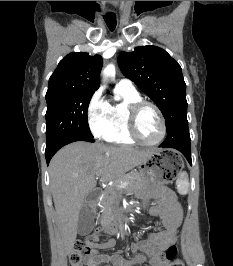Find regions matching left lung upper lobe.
I'll list each match as a JSON object with an SVG mask.
<instances>
[{
	"label": "left lung upper lobe",
	"mask_w": 233,
	"mask_h": 266,
	"mask_svg": "<svg viewBox=\"0 0 233 266\" xmlns=\"http://www.w3.org/2000/svg\"><path fill=\"white\" fill-rule=\"evenodd\" d=\"M118 64L122 73L159 107L167 131L187 117L182 70L165 50L156 46L136 47L133 52H121Z\"/></svg>",
	"instance_id": "5c2ea615"
}]
</instances>
